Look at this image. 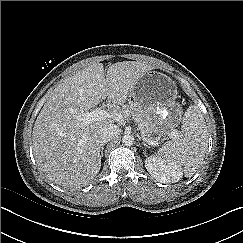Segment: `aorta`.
<instances>
[{
	"mask_svg": "<svg viewBox=\"0 0 243 243\" xmlns=\"http://www.w3.org/2000/svg\"><path fill=\"white\" fill-rule=\"evenodd\" d=\"M122 143L125 146H131L134 143V137L130 134H126L122 137Z\"/></svg>",
	"mask_w": 243,
	"mask_h": 243,
	"instance_id": "aorta-1",
	"label": "aorta"
}]
</instances>
